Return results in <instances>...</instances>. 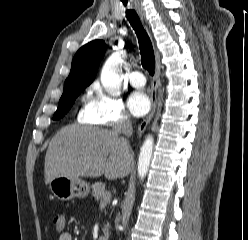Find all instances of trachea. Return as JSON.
<instances>
[{
    "instance_id": "trachea-1",
    "label": "trachea",
    "mask_w": 248,
    "mask_h": 240,
    "mask_svg": "<svg viewBox=\"0 0 248 240\" xmlns=\"http://www.w3.org/2000/svg\"><path fill=\"white\" fill-rule=\"evenodd\" d=\"M123 4L124 6H126L127 2L123 1ZM126 17L129 20L133 29L135 30L139 41L142 66L149 72L150 75H153L155 67V56L152 42L146 30L144 29L139 16L134 10H127Z\"/></svg>"
}]
</instances>
